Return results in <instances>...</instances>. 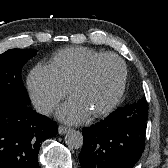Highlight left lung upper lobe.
Masks as SVG:
<instances>
[{"label":"left lung upper lobe","instance_id":"1","mask_svg":"<svg viewBox=\"0 0 168 168\" xmlns=\"http://www.w3.org/2000/svg\"><path fill=\"white\" fill-rule=\"evenodd\" d=\"M143 101L146 102V99H145V98H142V99H140V100L138 101V103H139V102H143Z\"/></svg>","mask_w":168,"mask_h":168}]
</instances>
